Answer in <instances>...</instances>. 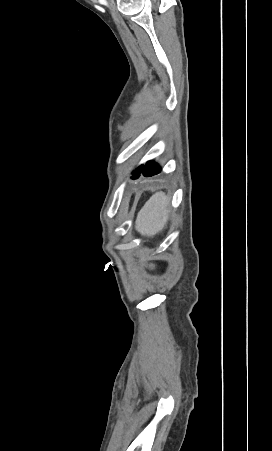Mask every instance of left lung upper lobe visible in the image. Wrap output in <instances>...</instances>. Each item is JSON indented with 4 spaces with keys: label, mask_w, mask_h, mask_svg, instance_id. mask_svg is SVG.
Returning a JSON list of instances; mask_svg holds the SVG:
<instances>
[{
    "label": "left lung upper lobe",
    "mask_w": 272,
    "mask_h": 451,
    "mask_svg": "<svg viewBox=\"0 0 272 451\" xmlns=\"http://www.w3.org/2000/svg\"><path fill=\"white\" fill-rule=\"evenodd\" d=\"M142 168H143V165H140L135 171H133L132 172V174H134L131 178H135V177H137L138 176V174H140L141 173V171H142Z\"/></svg>",
    "instance_id": "obj_1"
}]
</instances>
